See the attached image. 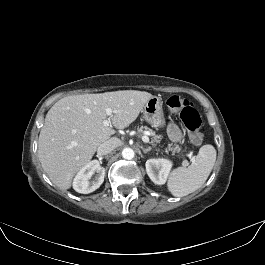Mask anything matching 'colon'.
<instances>
[{
  "mask_svg": "<svg viewBox=\"0 0 265 265\" xmlns=\"http://www.w3.org/2000/svg\"><path fill=\"white\" fill-rule=\"evenodd\" d=\"M166 104L171 111L179 115L192 143L201 144L203 141V134L200 132L201 118L194 104L178 95L169 97Z\"/></svg>",
  "mask_w": 265,
  "mask_h": 265,
  "instance_id": "obj_1",
  "label": "colon"
}]
</instances>
